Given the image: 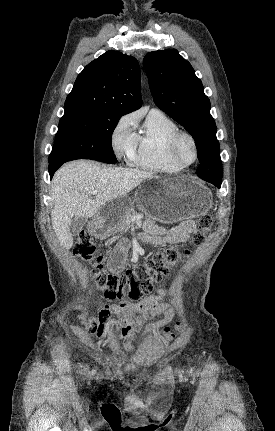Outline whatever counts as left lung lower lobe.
<instances>
[{
	"label": "left lung lower lobe",
	"instance_id": "0a47b994",
	"mask_svg": "<svg viewBox=\"0 0 275 431\" xmlns=\"http://www.w3.org/2000/svg\"><path fill=\"white\" fill-rule=\"evenodd\" d=\"M201 179L210 182L212 184H214L216 187L220 188L221 183H222V179L219 178L217 175H215L214 173H211L209 175H200L199 176Z\"/></svg>",
	"mask_w": 275,
	"mask_h": 431
}]
</instances>
